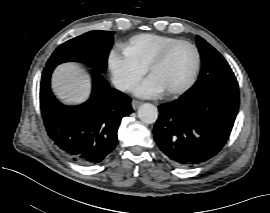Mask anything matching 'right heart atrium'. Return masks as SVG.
<instances>
[{
	"mask_svg": "<svg viewBox=\"0 0 270 213\" xmlns=\"http://www.w3.org/2000/svg\"><path fill=\"white\" fill-rule=\"evenodd\" d=\"M109 65L115 84L122 90H132L143 78L147 68L131 61L124 48L121 53L113 51L110 54Z\"/></svg>",
	"mask_w": 270,
	"mask_h": 213,
	"instance_id": "d8ad5b80",
	"label": "right heart atrium"
}]
</instances>
